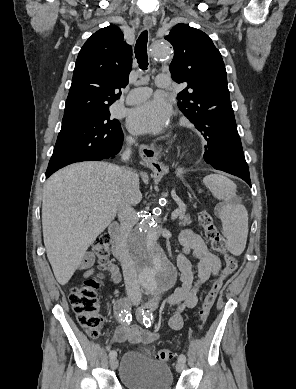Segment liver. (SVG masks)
I'll use <instances>...</instances> for the list:
<instances>
[{
	"instance_id": "liver-1",
	"label": "liver",
	"mask_w": 296,
	"mask_h": 389,
	"mask_svg": "<svg viewBox=\"0 0 296 389\" xmlns=\"http://www.w3.org/2000/svg\"><path fill=\"white\" fill-rule=\"evenodd\" d=\"M119 169L105 162L76 163L54 173L45 183L43 238L59 284L68 283L89 246L114 220L125 195ZM126 193L131 203L141 200L137 174Z\"/></svg>"
}]
</instances>
